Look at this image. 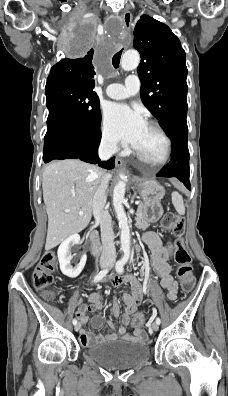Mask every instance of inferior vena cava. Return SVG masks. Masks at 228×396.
<instances>
[{"label": "inferior vena cava", "instance_id": "1", "mask_svg": "<svg viewBox=\"0 0 228 396\" xmlns=\"http://www.w3.org/2000/svg\"><path fill=\"white\" fill-rule=\"evenodd\" d=\"M116 141H102L99 146V157L102 160H107L111 158L117 152ZM110 180L109 174H104L100 183L95 191L92 210L93 215L100 223L101 229V240H102V255L115 256L116 249L114 245V234L111 223V216L107 210H105V204L107 200L106 189Z\"/></svg>", "mask_w": 228, "mask_h": 396}]
</instances>
